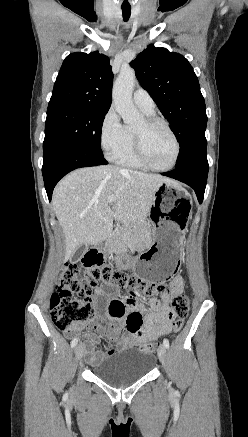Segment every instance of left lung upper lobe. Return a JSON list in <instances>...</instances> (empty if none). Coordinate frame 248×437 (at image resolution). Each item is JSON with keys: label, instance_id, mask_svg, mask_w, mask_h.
Wrapping results in <instances>:
<instances>
[{"label": "left lung upper lobe", "instance_id": "obj_1", "mask_svg": "<svg viewBox=\"0 0 248 437\" xmlns=\"http://www.w3.org/2000/svg\"><path fill=\"white\" fill-rule=\"evenodd\" d=\"M130 65L171 124L180 144L177 166L207 146V115L198 78L188 60L165 48L149 45Z\"/></svg>", "mask_w": 248, "mask_h": 437}]
</instances>
